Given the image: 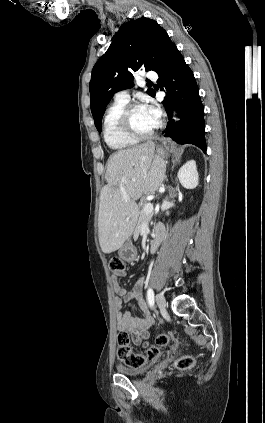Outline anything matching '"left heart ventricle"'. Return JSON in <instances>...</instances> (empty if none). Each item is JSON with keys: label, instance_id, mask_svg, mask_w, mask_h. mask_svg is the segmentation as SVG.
<instances>
[{"label": "left heart ventricle", "instance_id": "1", "mask_svg": "<svg viewBox=\"0 0 265 423\" xmlns=\"http://www.w3.org/2000/svg\"><path fill=\"white\" fill-rule=\"evenodd\" d=\"M131 123L133 128L139 133L152 131L157 123L149 115L145 107L135 109L131 114Z\"/></svg>", "mask_w": 265, "mask_h": 423}]
</instances>
